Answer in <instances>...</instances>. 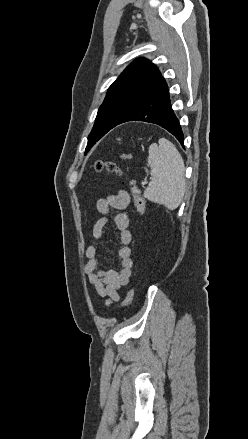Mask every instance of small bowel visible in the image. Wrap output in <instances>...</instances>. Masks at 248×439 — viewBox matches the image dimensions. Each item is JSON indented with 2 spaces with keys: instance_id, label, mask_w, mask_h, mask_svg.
I'll return each mask as SVG.
<instances>
[{
  "instance_id": "small-bowel-1",
  "label": "small bowel",
  "mask_w": 248,
  "mask_h": 439,
  "mask_svg": "<svg viewBox=\"0 0 248 439\" xmlns=\"http://www.w3.org/2000/svg\"><path fill=\"white\" fill-rule=\"evenodd\" d=\"M129 203L130 196L125 190H120L117 194L100 198L96 202V209L103 217L93 226V238L101 240L105 228L110 222H113L119 232V240L122 244L118 250L121 262V269L119 271H103L99 269L98 249L96 246H89L85 252L88 259L84 266L87 281L95 288L96 295L104 299L106 306H110L120 299L119 290L128 284L132 273L133 260L131 249L128 246L132 240V234L129 230L128 215L124 212Z\"/></svg>"
}]
</instances>
